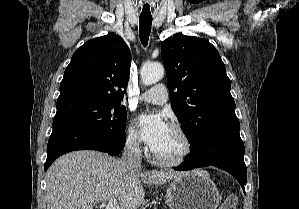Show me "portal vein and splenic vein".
Here are the masks:
<instances>
[{
	"label": "portal vein and splenic vein",
	"mask_w": 299,
	"mask_h": 209,
	"mask_svg": "<svg viewBox=\"0 0 299 209\" xmlns=\"http://www.w3.org/2000/svg\"><path fill=\"white\" fill-rule=\"evenodd\" d=\"M105 209H122L118 204L116 198H111L105 205Z\"/></svg>",
	"instance_id": "1"
}]
</instances>
